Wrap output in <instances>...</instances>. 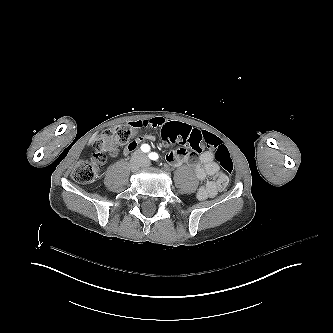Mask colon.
Segmentation results:
<instances>
[{
	"mask_svg": "<svg viewBox=\"0 0 333 333\" xmlns=\"http://www.w3.org/2000/svg\"><path fill=\"white\" fill-rule=\"evenodd\" d=\"M162 139L167 143H176L189 146L196 152H201V144L215 148V159L224 171V178L220 184H228V175L233 172L234 162L231 154L224 144L213 134H204L190 123L167 122L160 131ZM136 141L135 130L128 123L117 125L105 130L94 142L93 148L96 156L78 161L72 169V178L78 183H87L98 178L104 169L105 155L112 157L118 155V147L133 146Z\"/></svg>",
	"mask_w": 333,
	"mask_h": 333,
	"instance_id": "colon-1",
	"label": "colon"
}]
</instances>
